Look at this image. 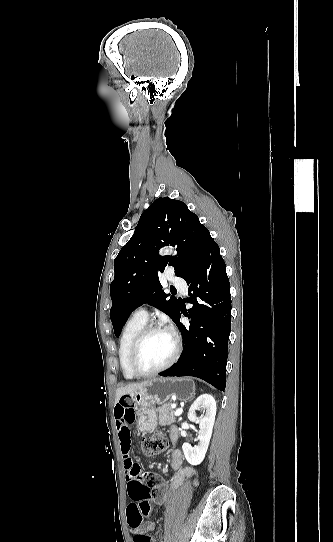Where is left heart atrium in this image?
I'll return each instance as SVG.
<instances>
[{"mask_svg": "<svg viewBox=\"0 0 333 542\" xmlns=\"http://www.w3.org/2000/svg\"><path fill=\"white\" fill-rule=\"evenodd\" d=\"M168 331H169L170 333H174V328H173L172 326H168Z\"/></svg>", "mask_w": 333, "mask_h": 542, "instance_id": "1", "label": "left heart atrium"}]
</instances>
